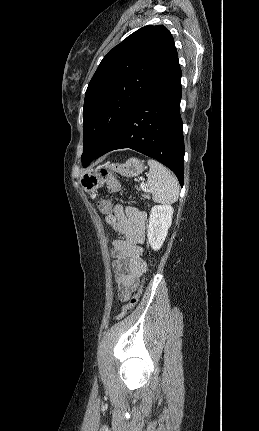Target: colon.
<instances>
[{"label":"colon","mask_w":259,"mask_h":431,"mask_svg":"<svg viewBox=\"0 0 259 431\" xmlns=\"http://www.w3.org/2000/svg\"><path fill=\"white\" fill-rule=\"evenodd\" d=\"M99 174L107 182V185L111 191L113 192L119 191L120 184L118 183L114 175L109 171V169L106 166H103L99 169ZM97 208L102 213H108L112 209V202L109 200H102L97 203ZM140 294H141V285L136 290V292L131 296L128 302L124 305L122 311L117 315L116 320L123 319L130 311L134 309V307L139 301Z\"/></svg>","instance_id":"obj_1"}]
</instances>
